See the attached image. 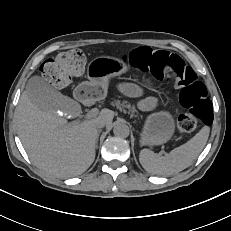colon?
Returning a JSON list of instances; mask_svg holds the SVG:
<instances>
[{
    "label": "colon",
    "instance_id": "5ec220e1",
    "mask_svg": "<svg viewBox=\"0 0 231 231\" xmlns=\"http://www.w3.org/2000/svg\"><path fill=\"white\" fill-rule=\"evenodd\" d=\"M128 61L155 78L167 79L180 88L179 101L186 111L177 120L179 133L192 132L199 123H211L213 110L207 89L181 56L166 50L139 47L130 52ZM85 65V54L73 49L46 60L40 69L50 84L64 87L83 72Z\"/></svg>",
    "mask_w": 231,
    "mask_h": 231
}]
</instances>
